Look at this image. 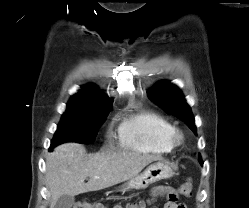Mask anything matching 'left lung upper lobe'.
Instances as JSON below:
<instances>
[{"instance_id":"left-lung-upper-lobe-1","label":"left lung upper lobe","mask_w":249,"mask_h":208,"mask_svg":"<svg viewBox=\"0 0 249 208\" xmlns=\"http://www.w3.org/2000/svg\"><path fill=\"white\" fill-rule=\"evenodd\" d=\"M147 94L148 97L164 111L172 113L177 118L186 122L192 131L196 133V126L191 109L177 86L168 81H161L149 90ZM198 160L200 164L203 165L200 156Z\"/></svg>"}]
</instances>
